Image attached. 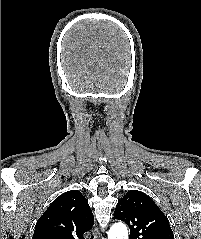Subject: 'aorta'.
Wrapping results in <instances>:
<instances>
[{"mask_svg": "<svg viewBox=\"0 0 201 239\" xmlns=\"http://www.w3.org/2000/svg\"><path fill=\"white\" fill-rule=\"evenodd\" d=\"M108 239H128V229L125 224L118 222L112 225Z\"/></svg>", "mask_w": 201, "mask_h": 239, "instance_id": "762f6f07", "label": "aorta"}]
</instances>
